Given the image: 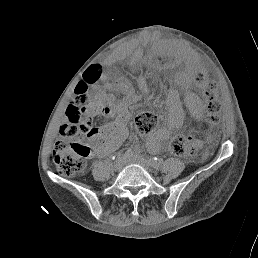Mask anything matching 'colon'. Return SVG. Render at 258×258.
<instances>
[{
	"label": "colon",
	"mask_w": 258,
	"mask_h": 258,
	"mask_svg": "<svg viewBox=\"0 0 258 258\" xmlns=\"http://www.w3.org/2000/svg\"><path fill=\"white\" fill-rule=\"evenodd\" d=\"M103 74L100 65H91L76 87L74 101L68 106L65 123L60 128V137L53 149V160L60 174L74 176L85 169L86 159L101 143V130L91 128L81 112V106L88 100V89L97 83ZM216 86L208 82L204 92L205 120L214 125L218 120L219 103L216 99ZM157 125L154 113L145 112L137 115L136 129L142 134L150 133ZM200 138L209 143L210 131L204 130ZM170 151L178 156H195L198 153V139L193 136L179 135L170 141Z\"/></svg>",
	"instance_id": "colon-1"
}]
</instances>
